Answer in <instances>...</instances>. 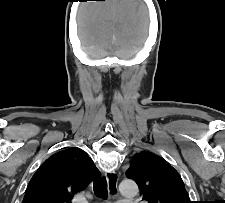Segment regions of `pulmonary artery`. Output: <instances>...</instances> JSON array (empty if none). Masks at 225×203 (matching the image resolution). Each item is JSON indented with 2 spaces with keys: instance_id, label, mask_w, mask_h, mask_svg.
Listing matches in <instances>:
<instances>
[{
  "instance_id": "1",
  "label": "pulmonary artery",
  "mask_w": 225,
  "mask_h": 203,
  "mask_svg": "<svg viewBox=\"0 0 225 203\" xmlns=\"http://www.w3.org/2000/svg\"><path fill=\"white\" fill-rule=\"evenodd\" d=\"M118 203H132V201L131 200H121Z\"/></svg>"
}]
</instances>
